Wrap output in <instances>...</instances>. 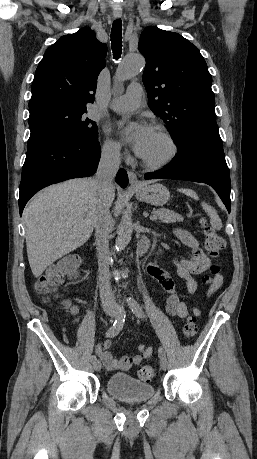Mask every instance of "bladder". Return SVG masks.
Listing matches in <instances>:
<instances>
[{
    "instance_id": "bladder-1",
    "label": "bladder",
    "mask_w": 257,
    "mask_h": 459,
    "mask_svg": "<svg viewBox=\"0 0 257 459\" xmlns=\"http://www.w3.org/2000/svg\"><path fill=\"white\" fill-rule=\"evenodd\" d=\"M107 392L114 398L128 403L145 402L154 394L151 384L135 379L128 373H115L106 383Z\"/></svg>"
}]
</instances>
